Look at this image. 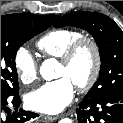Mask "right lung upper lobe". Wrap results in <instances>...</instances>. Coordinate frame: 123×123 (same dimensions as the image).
I'll list each match as a JSON object with an SVG mask.
<instances>
[{
	"label": "right lung upper lobe",
	"mask_w": 123,
	"mask_h": 123,
	"mask_svg": "<svg viewBox=\"0 0 123 123\" xmlns=\"http://www.w3.org/2000/svg\"><path fill=\"white\" fill-rule=\"evenodd\" d=\"M10 15H18V16H21V17H24V18H33L35 16H38V15L27 14V13L10 14ZM47 17L50 19L52 24L58 19V16H56V15H48Z\"/></svg>",
	"instance_id": "cb5924a9"
}]
</instances>
